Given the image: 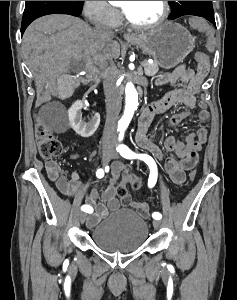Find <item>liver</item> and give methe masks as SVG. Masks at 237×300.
<instances>
[{
    "mask_svg": "<svg viewBox=\"0 0 237 300\" xmlns=\"http://www.w3.org/2000/svg\"><path fill=\"white\" fill-rule=\"evenodd\" d=\"M22 51L29 69L36 73L38 101L42 91L54 93L57 77L68 73L74 61H92L102 69L108 59L120 57L117 41H102L87 23L71 15H47L33 21L23 35ZM81 67L90 71L92 65Z\"/></svg>",
    "mask_w": 237,
    "mask_h": 300,
    "instance_id": "6515ba94",
    "label": "liver"
}]
</instances>
